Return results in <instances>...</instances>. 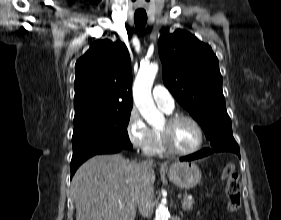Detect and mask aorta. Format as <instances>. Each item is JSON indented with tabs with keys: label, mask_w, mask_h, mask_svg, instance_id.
I'll return each mask as SVG.
<instances>
[{
	"label": "aorta",
	"mask_w": 281,
	"mask_h": 220,
	"mask_svg": "<svg viewBox=\"0 0 281 220\" xmlns=\"http://www.w3.org/2000/svg\"><path fill=\"white\" fill-rule=\"evenodd\" d=\"M158 72V64L141 66L134 81L133 99L142 117L149 125L155 126L163 120V114L157 109L152 98V85ZM167 207L160 203L156 209L155 220H168Z\"/></svg>",
	"instance_id": "obj_1"
}]
</instances>
